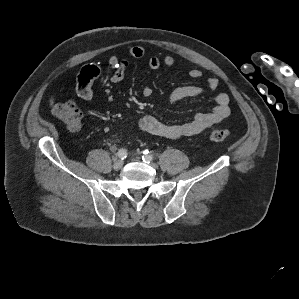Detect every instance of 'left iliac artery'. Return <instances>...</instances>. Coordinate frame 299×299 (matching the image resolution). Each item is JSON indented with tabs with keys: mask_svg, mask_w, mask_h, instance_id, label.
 I'll return each instance as SVG.
<instances>
[{
	"mask_svg": "<svg viewBox=\"0 0 299 299\" xmlns=\"http://www.w3.org/2000/svg\"><path fill=\"white\" fill-rule=\"evenodd\" d=\"M143 161L146 163H150L152 161L153 157L151 154L145 153V155L142 157Z\"/></svg>",
	"mask_w": 299,
	"mask_h": 299,
	"instance_id": "obj_1",
	"label": "left iliac artery"
}]
</instances>
